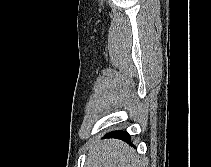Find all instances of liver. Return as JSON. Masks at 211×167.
Wrapping results in <instances>:
<instances>
[{
  "label": "liver",
  "instance_id": "6515ba94",
  "mask_svg": "<svg viewBox=\"0 0 211 167\" xmlns=\"http://www.w3.org/2000/svg\"><path fill=\"white\" fill-rule=\"evenodd\" d=\"M85 167H144V161L124 142L109 139L91 147Z\"/></svg>",
  "mask_w": 211,
  "mask_h": 167
}]
</instances>
